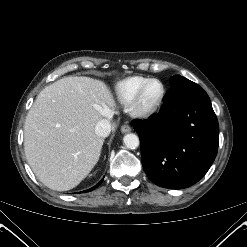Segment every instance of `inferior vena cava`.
Segmentation results:
<instances>
[{
    "label": "inferior vena cava",
    "instance_id": "602c4592",
    "mask_svg": "<svg viewBox=\"0 0 247 247\" xmlns=\"http://www.w3.org/2000/svg\"><path fill=\"white\" fill-rule=\"evenodd\" d=\"M111 132V123L108 119L100 120L95 126V133L102 138L107 137Z\"/></svg>",
    "mask_w": 247,
    "mask_h": 247
}]
</instances>
